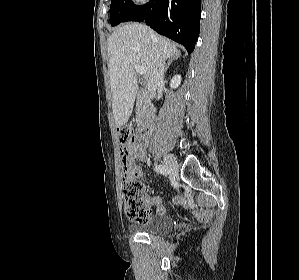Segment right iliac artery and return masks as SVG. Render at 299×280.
Here are the masks:
<instances>
[{"label":"right iliac artery","mask_w":299,"mask_h":280,"mask_svg":"<svg viewBox=\"0 0 299 280\" xmlns=\"http://www.w3.org/2000/svg\"><path fill=\"white\" fill-rule=\"evenodd\" d=\"M155 170H156V172L163 174V175H167L169 173V169L166 165H156Z\"/></svg>","instance_id":"82829eb1"}]
</instances>
